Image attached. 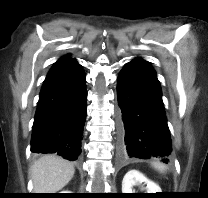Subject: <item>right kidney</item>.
<instances>
[{"label": "right kidney", "instance_id": "ca27d5eb", "mask_svg": "<svg viewBox=\"0 0 208 198\" xmlns=\"http://www.w3.org/2000/svg\"><path fill=\"white\" fill-rule=\"evenodd\" d=\"M65 193H70L71 191H64Z\"/></svg>", "mask_w": 208, "mask_h": 198}]
</instances>
